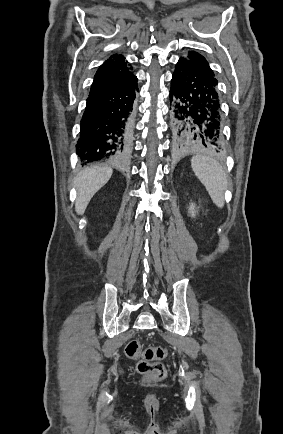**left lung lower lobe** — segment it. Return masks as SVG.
I'll list each match as a JSON object with an SVG mask.
<instances>
[{"label": "left lung lower lobe", "mask_w": 283, "mask_h": 434, "mask_svg": "<svg viewBox=\"0 0 283 434\" xmlns=\"http://www.w3.org/2000/svg\"><path fill=\"white\" fill-rule=\"evenodd\" d=\"M170 103L176 147L222 153L221 104L214 73L180 58L171 80Z\"/></svg>", "instance_id": "1"}]
</instances>
